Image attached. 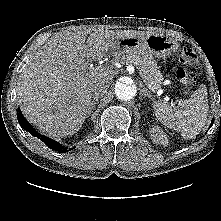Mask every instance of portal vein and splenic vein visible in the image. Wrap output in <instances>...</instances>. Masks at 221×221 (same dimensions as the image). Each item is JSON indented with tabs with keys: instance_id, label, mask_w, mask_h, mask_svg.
Masks as SVG:
<instances>
[{
	"instance_id": "18ae733b",
	"label": "portal vein and splenic vein",
	"mask_w": 221,
	"mask_h": 221,
	"mask_svg": "<svg viewBox=\"0 0 221 221\" xmlns=\"http://www.w3.org/2000/svg\"><path fill=\"white\" fill-rule=\"evenodd\" d=\"M151 89V88H150ZM158 91H160L161 93H162V90L161 89H159Z\"/></svg>"
}]
</instances>
